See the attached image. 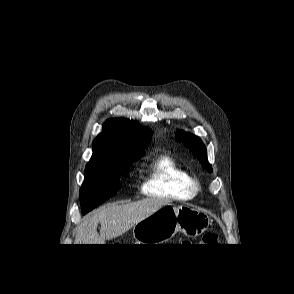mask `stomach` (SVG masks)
Returning <instances> with one entry per match:
<instances>
[{
    "mask_svg": "<svg viewBox=\"0 0 294 294\" xmlns=\"http://www.w3.org/2000/svg\"><path fill=\"white\" fill-rule=\"evenodd\" d=\"M211 224L209 216L188 205L167 204L133 226L136 244H164L176 233L194 238Z\"/></svg>",
    "mask_w": 294,
    "mask_h": 294,
    "instance_id": "obj_1",
    "label": "stomach"
}]
</instances>
